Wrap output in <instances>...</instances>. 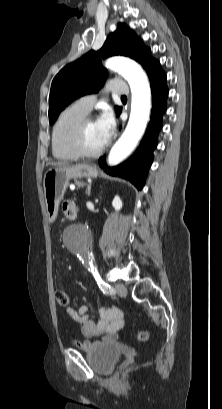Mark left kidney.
<instances>
[{
	"label": "left kidney",
	"mask_w": 222,
	"mask_h": 409,
	"mask_svg": "<svg viewBox=\"0 0 222 409\" xmlns=\"http://www.w3.org/2000/svg\"><path fill=\"white\" fill-rule=\"evenodd\" d=\"M122 201L119 196H116L112 202V206L115 210L119 211L122 208Z\"/></svg>",
	"instance_id": "obj_1"
}]
</instances>
